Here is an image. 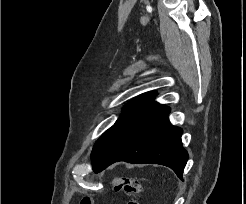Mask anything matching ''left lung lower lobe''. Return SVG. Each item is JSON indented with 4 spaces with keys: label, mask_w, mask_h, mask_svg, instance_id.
Instances as JSON below:
<instances>
[{
    "label": "left lung lower lobe",
    "mask_w": 246,
    "mask_h": 204,
    "mask_svg": "<svg viewBox=\"0 0 246 204\" xmlns=\"http://www.w3.org/2000/svg\"><path fill=\"white\" fill-rule=\"evenodd\" d=\"M144 100L107 130L95 143L92 164L95 173L118 161L154 163L170 167L182 179L188 153L182 147V129L170 124V109Z\"/></svg>",
    "instance_id": "obj_1"
}]
</instances>
